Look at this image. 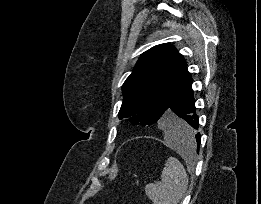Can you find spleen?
Returning a JSON list of instances; mask_svg holds the SVG:
<instances>
[{
    "instance_id": "1",
    "label": "spleen",
    "mask_w": 261,
    "mask_h": 204,
    "mask_svg": "<svg viewBox=\"0 0 261 204\" xmlns=\"http://www.w3.org/2000/svg\"><path fill=\"white\" fill-rule=\"evenodd\" d=\"M164 139L168 146L180 153L195 152L196 143L193 138L187 142L177 141L165 131ZM161 180L162 182L159 184H147L146 195L153 204H177L184 196L188 186V176L183 165L176 158L169 157L163 168Z\"/></svg>"
}]
</instances>
